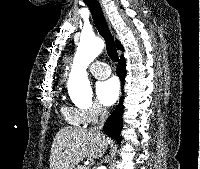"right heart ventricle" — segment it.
<instances>
[{
  "label": "right heart ventricle",
  "instance_id": "right-heart-ventricle-1",
  "mask_svg": "<svg viewBox=\"0 0 200 169\" xmlns=\"http://www.w3.org/2000/svg\"><path fill=\"white\" fill-rule=\"evenodd\" d=\"M62 114H63L65 120L69 124L74 125V126H83L80 114L78 113L77 109L63 107Z\"/></svg>",
  "mask_w": 200,
  "mask_h": 169
}]
</instances>
